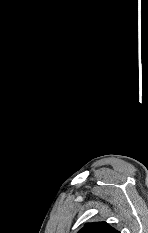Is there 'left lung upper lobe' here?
Here are the masks:
<instances>
[{
    "label": "left lung upper lobe",
    "mask_w": 148,
    "mask_h": 233,
    "mask_svg": "<svg viewBox=\"0 0 148 233\" xmlns=\"http://www.w3.org/2000/svg\"><path fill=\"white\" fill-rule=\"evenodd\" d=\"M78 233H119L106 222L87 223Z\"/></svg>",
    "instance_id": "1"
}]
</instances>
